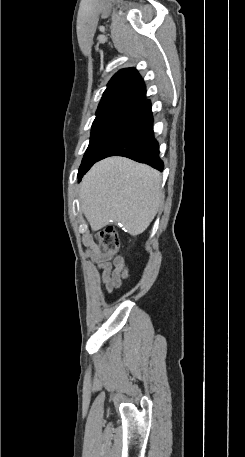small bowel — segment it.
Returning <instances> with one entry per match:
<instances>
[{
  "instance_id": "obj_1",
  "label": "small bowel",
  "mask_w": 245,
  "mask_h": 457,
  "mask_svg": "<svg viewBox=\"0 0 245 457\" xmlns=\"http://www.w3.org/2000/svg\"><path fill=\"white\" fill-rule=\"evenodd\" d=\"M94 262L97 263V269L101 273V283L108 294L118 290L129 275L128 267L120 256L99 255L94 258Z\"/></svg>"
}]
</instances>
